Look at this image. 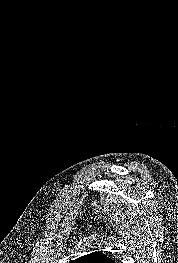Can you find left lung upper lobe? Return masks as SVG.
<instances>
[{"mask_svg": "<svg viewBox=\"0 0 178 263\" xmlns=\"http://www.w3.org/2000/svg\"><path fill=\"white\" fill-rule=\"evenodd\" d=\"M112 261V259L101 252H93L72 260L69 263H112Z\"/></svg>", "mask_w": 178, "mask_h": 263, "instance_id": "1", "label": "left lung upper lobe"}]
</instances>
